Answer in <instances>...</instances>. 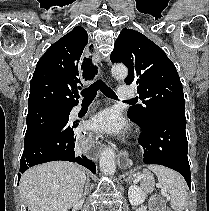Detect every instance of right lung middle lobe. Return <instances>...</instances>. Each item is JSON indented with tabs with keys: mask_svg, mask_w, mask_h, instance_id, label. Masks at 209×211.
<instances>
[{
	"mask_svg": "<svg viewBox=\"0 0 209 211\" xmlns=\"http://www.w3.org/2000/svg\"><path fill=\"white\" fill-rule=\"evenodd\" d=\"M70 111V108H44L28 112L24 146L33 142L51 127L69 118Z\"/></svg>",
	"mask_w": 209,
	"mask_h": 211,
	"instance_id": "1",
	"label": "right lung middle lobe"
}]
</instances>
